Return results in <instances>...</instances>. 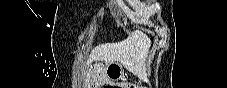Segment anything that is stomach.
Masks as SVG:
<instances>
[{
    "mask_svg": "<svg viewBox=\"0 0 227 88\" xmlns=\"http://www.w3.org/2000/svg\"><path fill=\"white\" fill-rule=\"evenodd\" d=\"M106 73L112 81H118L123 78L124 71L121 65L117 62L109 63L106 66Z\"/></svg>",
    "mask_w": 227,
    "mask_h": 88,
    "instance_id": "0dacf381",
    "label": "stomach"
}]
</instances>
